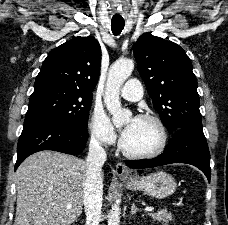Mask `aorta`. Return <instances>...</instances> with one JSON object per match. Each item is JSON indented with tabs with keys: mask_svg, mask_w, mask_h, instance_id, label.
<instances>
[{
	"mask_svg": "<svg viewBox=\"0 0 228 225\" xmlns=\"http://www.w3.org/2000/svg\"><path fill=\"white\" fill-rule=\"evenodd\" d=\"M133 68L134 62L131 58H120V60L113 62L109 68L104 102L107 110L112 115V123L115 127L124 125L128 117L132 115L131 110L122 108L119 92L123 82L130 76ZM108 225H120V209L118 207H112L108 215Z\"/></svg>",
	"mask_w": 228,
	"mask_h": 225,
	"instance_id": "aorta-1",
	"label": "aorta"
}]
</instances>
